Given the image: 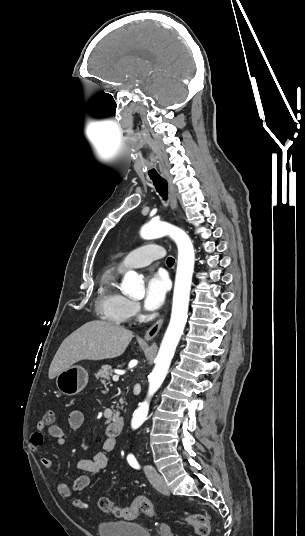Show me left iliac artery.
I'll use <instances>...</instances> for the list:
<instances>
[{
    "label": "left iliac artery",
    "instance_id": "44dca946",
    "mask_svg": "<svg viewBox=\"0 0 305 536\" xmlns=\"http://www.w3.org/2000/svg\"><path fill=\"white\" fill-rule=\"evenodd\" d=\"M127 460H128L129 464H130L133 468H135V469H139V468H140V466H139V464H138V462H137V460H136V458H135L134 456H129Z\"/></svg>",
    "mask_w": 305,
    "mask_h": 536
}]
</instances>
